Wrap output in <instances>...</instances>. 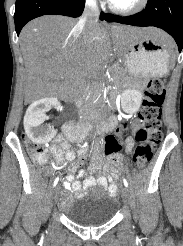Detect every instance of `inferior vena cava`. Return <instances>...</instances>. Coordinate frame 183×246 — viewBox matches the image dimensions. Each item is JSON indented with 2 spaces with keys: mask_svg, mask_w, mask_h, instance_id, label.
Instances as JSON below:
<instances>
[{
  "mask_svg": "<svg viewBox=\"0 0 183 246\" xmlns=\"http://www.w3.org/2000/svg\"><path fill=\"white\" fill-rule=\"evenodd\" d=\"M99 18V7L96 0H86L84 12L79 19L77 25L90 31L94 27Z\"/></svg>",
  "mask_w": 183,
  "mask_h": 246,
  "instance_id": "obj_1",
  "label": "inferior vena cava"
}]
</instances>
